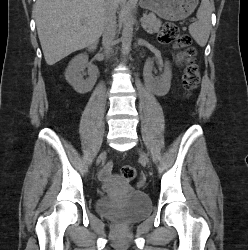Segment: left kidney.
Listing matches in <instances>:
<instances>
[{
  "mask_svg": "<svg viewBox=\"0 0 248 250\" xmlns=\"http://www.w3.org/2000/svg\"><path fill=\"white\" fill-rule=\"evenodd\" d=\"M171 78H172L171 70L167 68L162 78L157 80L156 85H154L155 90L157 92L159 91V89H163V91L168 90L170 87Z\"/></svg>",
  "mask_w": 248,
  "mask_h": 250,
  "instance_id": "left-kidney-1",
  "label": "left kidney"
}]
</instances>
